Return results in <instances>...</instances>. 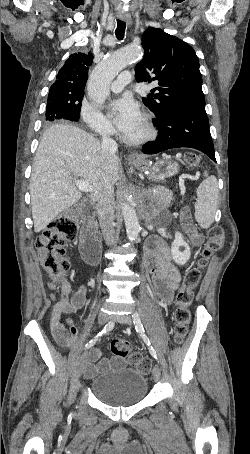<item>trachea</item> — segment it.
Segmentation results:
<instances>
[{
    "mask_svg": "<svg viewBox=\"0 0 250 454\" xmlns=\"http://www.w3.org/2000/svg\"><path fill=\"white\" fill-rule=\"evenodd\" d=\"M125 29L126 23L124 21L117 19V28L115 34L118 40H122L124 38Z\"/></svg>",
    "mask_w": 250,
    "mask_h": 454,
    "instance_id": "obj_1",
    "label": "trachea"
}]
</instances>
